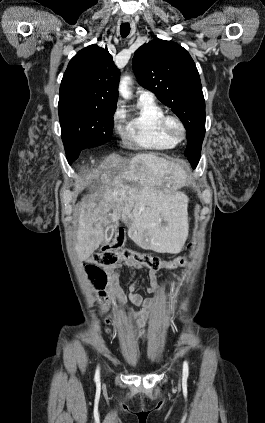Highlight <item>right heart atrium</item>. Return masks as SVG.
Here are the masks:
<instances>
[{"instance_id": "d8ad5b80", "label": "right heart atrium", "mask_w": 265, "mask_h": 423, "mask_svg": "<svg viewBox=\"0 0 265 423\" xmlns=\"http://www.w3.org/2000/svg\"><path fill=\"white\" fill-rule=\"evenodd\" d=\"M124 117H125V110L123 109L121 105H117L112 114V124L115 129L119 128V124L124 119Z\"/></svg>"}]
</instances>
